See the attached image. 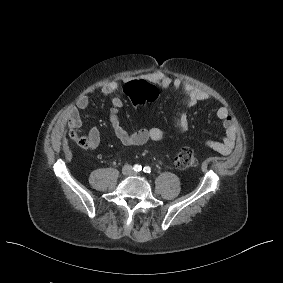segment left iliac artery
Segmentation results:
<instances>
[{
	"label": "left iliac artery",
	"mask_w": 283,
	"mask_h": 283,
	"mask_svg": "<svg viewBox=\"0 0 283 283\" xmlns=\"http://www.w3.org/2000/svg\"><path fill=\"white\" fill-rule=\"evenodd\" d=\"M143 171L145 173H150L151 172V168L149 166L144 167Z\"/></svg>",
	"instance_id": "obj_1"
}]
</instances>
